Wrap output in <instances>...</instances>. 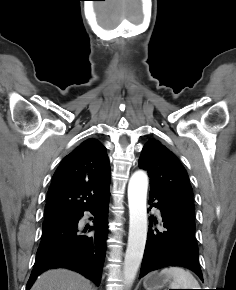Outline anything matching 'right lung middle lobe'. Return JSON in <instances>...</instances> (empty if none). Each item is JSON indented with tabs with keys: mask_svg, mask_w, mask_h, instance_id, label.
Instances as JSON below:
<instances>
[{
	"mask_svg": "<svg viewBox=\"0 0 236 290\" xmlns=\"http://www.w3.org/2000/svg\"><path fill=\"white\" fill-rule=\"evenodd\" d=\"M71 217L72 216L45 219V221L43 222L42 230H46V229H48L50 227H53V226L58 225L60 223H63L65 221L69 220Z\"/></svg>",
	"mask_w": 236,
	"mask_h": 290,
	"instance_id": "dd1d6c3e",
	"label": "right lung middle lobe"
}]
</instances>
